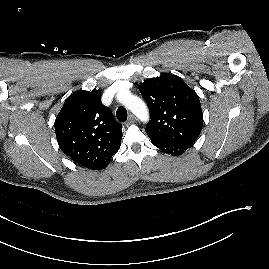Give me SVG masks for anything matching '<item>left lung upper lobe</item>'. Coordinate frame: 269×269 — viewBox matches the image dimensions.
<instances>
[{"label":"left lung upper lobe","instance_id":"left-lung-upper-lobe-1","mask_svg":"<svg viewBox=\"0 0 269 269\" xmlns=\"http://www.w3.org/2000/svg\"><path fill=\"white\" fill-rule=\"evenodd\" d=\"M151 120L146 132L152 141L193 144L200 135L203 113L198 95L179 76L164 73L139 85Z\"/></svg>","mask_w":269,"mask_h":269}]
</instances>
